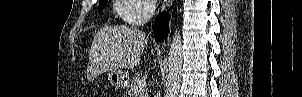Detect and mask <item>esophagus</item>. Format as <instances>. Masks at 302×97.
<instances>
[{
    "label": "esophagus",
    "mask_w": 302,
    "mask_h": 97,
    "mask_svg": "<svg viewBox=\"0 0 302 97\" xmlns=\"http://www.w3.org/2000/svg\"><path fill=\"white\" fill-rule=\"evenodd\" d=\"M173 0H164L162 8L164 9L166 6L172 4Z\"/></svg>",
    "instance_id": "1"
}]
</instances>
